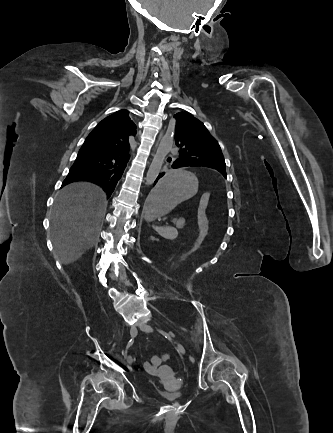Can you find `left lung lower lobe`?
<instances>
[{
    "mask_svg": "<svg viewBox=\"0 0 333 433\" xmlns=\"http://www.w3.org/2000/svg\"><path fill=\"white\" fill-rule=\"evenodd\" d=\"M168 161H171V160H168ZM172 168H174V169L179 168V167H178V162H177V161H174V162H173V164H172ZM164 174H165V172L159 174V176L157 177L155 183H156V182L158 181V179L161 178ZM154 207H155V198H154V197H151V198L148 197V198L146 199V203H145V206H144L145 214L148 215L150 212H152V210L154 209Z\"/></svg>",
    "mask_w": 333,
    "mask_h": 433,
    "instance_id": "left-lung-lower-lobe-1",
    "label": "left lung lower lobe"
}]
</instances>
